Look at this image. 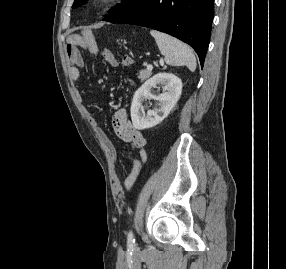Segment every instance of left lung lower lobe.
Segmentation results:
<instances>
[{"instance_id":"0a47b994","label":"left lung lower lobe","mask_w":286,"mask_h":269,"mask_svg":"<svg viewBox=\"0 0 286 269\" xmlns=\"http://www.w3.org/2000/svg\"><path fill=\"white\" fill-rule=\"evenodd\" d=\"M214 0H147L116 23L134 24L170 34L189 44L204 64L209 45Z\"/></svg>"}]
</instances>
